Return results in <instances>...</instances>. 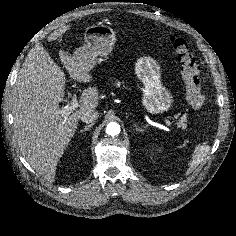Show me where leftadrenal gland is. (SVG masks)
Returning a JSON list of instances; mask_svg holds the SVG:
<instances>
[{"mask_svg": "<svg viewBox=\"0 0 236 236\" xmlns=\"http://www.w3.org/2000/svg\"><path fill=\"white\" fill-rule=\"evenodd\" d=\"M133 126L135 127L136 131L143 132L144 129L140 128L135 122H133Z\"/></svg>", "mask_w": 236, "mask_h": 236, "instance_id": "obj_1", "label": "left adrenal gland"}]
</instances>
